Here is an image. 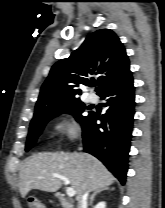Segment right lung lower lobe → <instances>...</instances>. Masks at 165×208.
<instances>
[{
    "mask_svg": "<svg viewBox=\"0 0 165 208\" xmlns=\"http://www.w3.org/2000/svg\"><path fill=\"white\" fill-rule=\"evenodd\" d=\"M99 96L106 100L107 112L102 117L90 112L82 123L84 151L101 160L124 184L135 106L131 72ZM97 119L101 124H96Z\"/></svg>",
    "mask_w": 165,
    "mask_h": 208,
    "instance_id": "right-lung-lower-lobe-1",
    "label": "right lung lower lobe"
}]
</instances>
